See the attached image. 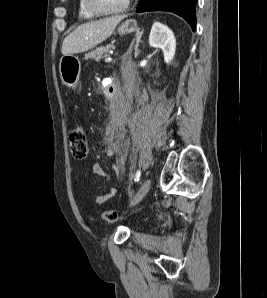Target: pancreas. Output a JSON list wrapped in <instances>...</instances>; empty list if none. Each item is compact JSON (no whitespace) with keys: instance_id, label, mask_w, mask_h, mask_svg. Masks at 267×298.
Segmentation results:
<instances>
[{"instance_id":"obj_1","label":"pancreas","mask_w":267,"mask_h":298,"mask_svg":"<svg viewBox=\"0 0 267 298\" xmlns=\"http://www.w3.org/2000/svg\"><path fill=\"white\" fill-rule=\"evenodd\" d=\"M111 48H113L112 44H108V45H105V46H100V47L96 48L95 50L87 53L85 55V58H93V59L99 61L102 58L108 56V52Z\"/></svg>"}]
</instances>
